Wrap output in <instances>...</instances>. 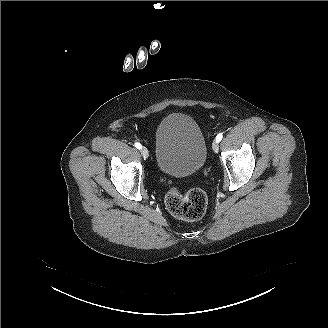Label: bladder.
<instances>
[{"mask_svg":"<svg viewBox=\"0 0 328 328\" xmlns=\"http://www.w3.org/2000/svg\"><path fill=\"white\" fill-rule=\"evenodd\" d=\"M156 162L162 173L186 175L201 169L206 146L195 120L185 114L168 115L156 131Z\"/></svg>","mask_w":328,"mask_h":328,"instance_id":"31cf9c89","label":"bladder"}]
</instances>
